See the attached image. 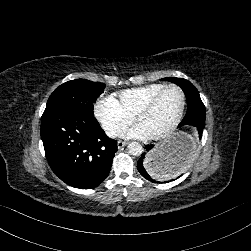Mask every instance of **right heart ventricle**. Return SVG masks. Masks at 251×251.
I'll return each instance as SVG.
<instances>
[{"mask_svg":"<svg viewBox=\"0 0 251 251\" xmlns=\"http://www.w3.org/2000/svg\"><path fill=\"white\" fill-rule=\"evenodd\" d=\"M164 86L165 84L162 83H149L125 89L120 93L121 103L129 112L136 113L140 106Z\"/></svg>","mask_w":251,"mask_h":251,"instance_id":"obj_1","label":"right heart ventricle"}]
</instances>
